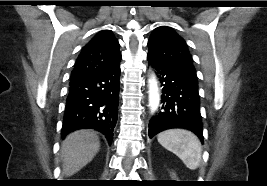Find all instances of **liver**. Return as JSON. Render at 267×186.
<instances>
[{
	"label": "liver",
	"instance_id": "liver-1",
	"mask_svg": "<svg viewBox=\"0 0 267 186\" xmlns=\"http://www.w3.org/2000/svg\"><path fill=\"white\" fill-rule=\"evenodd\" d=\"M100 149V141L92 130H78L70 133L61 146L62 170L65 176H72L92 161Z\"/></svg>",
	"mask_w": 267,
	"mask_h": 186
}]
</instances>
